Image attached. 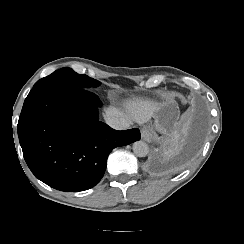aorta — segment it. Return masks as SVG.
<instances>
[{
	"instance_id": "1",
	"label": "aorta",
	"mask_w": 244,
	"mask_h": 244,
	"mask_svg": "<svg viewBox=\"0 0 244 244\" xmlns=\"http://www.w3.org/2000/svg\"><path fill=\"white\" fill-rule=\"evenodd\" d=\"M133 152L138 157H145L149 153V147L147 143L143 141H136L133 144Z\"/></svg>"
}]
</instances>
